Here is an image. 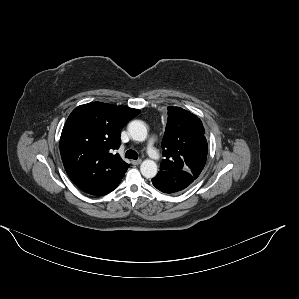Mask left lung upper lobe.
I'll list each match as a JSON object with an SVG mask.
<instances>
[{
  "label": "left lung upper lobe",
  "mask_w": 299,
  "mask_h": 299,
  "mask_svg": "<svg viewBox=\"0 0 299 299\" xmlns=\"http://www.w3.org/2000/svg\"><path fill=\"white\" fill-rule=\"evenodd\" d=\"M168 122L162 140L161 170L186 171L196 179L203 170L208 145L201 120L193 113L169 106Z\"/></svg>",
  "instance_id": "1"
}]
</instances>
